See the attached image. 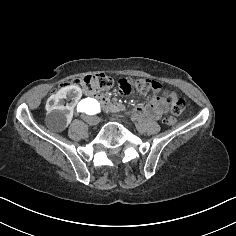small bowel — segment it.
I'll use <instances>...</instances> for the list:
<instances>
[{
    "label": "small bowel",
    "mask_w": 236,
    "mask_h": 236,
    "mask_svg": "<svg viewBox=\"0 0 236 236\" xmlns=\"http://www.w3.org/2000/svg\"><path fill=\"white\" fill-rule=\"evenodd\" d=\"M167 111L166 103L159 98L151 100L148 104L143 106H136L134 113L139 117H148L151 119H159L162 114Z\"/></svg>",
    "instance_id": "c3829d8e"
}]
</instances>
